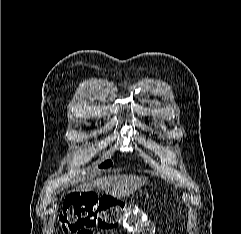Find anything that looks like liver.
<instances>
[{"mask_svg":"<svg viewBox=\"0 0 241 234\" xmlns=\"http://www.w3.org/2000/svg\"><path fill=\"white\" fill-rule=\"evenodd\" d=\"M148 178L136 175H114L83 183L77 191L87 192L93 188L102 189L107 195L121 198L140 189Z\"/></svg>","mask_w":241,"mask_h":234,"instance_id":"6515ba94","label":"liver"}]
</instances>
